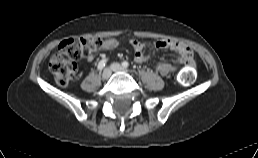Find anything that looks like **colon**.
I'll return each instance as SVG.
<instances>
[{
    "instance_id": "obj_1",
    "label": "colon",
    "mask_w": 258,
    "mask_h": 158,
    "mask_svg": "<svg viewBox=\"0 0 258 158\" xmlns=\"http://www.w3.org/2000/svg\"><path fill=\"white\" fill-rule=\"evenodd\" d=\"M103 47L100 38H68L62 41L56 52L52 55L49 69L59 85H67L76 75V61L84 55ZM195 78L191 67L185 69L179 76V83L188 85Z\"/></svg>"
}]
</instances>
